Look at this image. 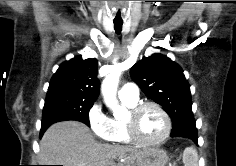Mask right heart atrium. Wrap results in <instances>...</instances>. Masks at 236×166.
<instances>
[{
  "label": "right heart atrium",
  "instance_id": "obj_1",
  "mask_svg": "<svg viewBox=\"0 0 236 166\" xmlns=\"http://www.w3.org/2000/svg\"><path fill=\"white\" fill-rule=\"evenodd\" d=\"M88 124L93 134L102 140L111 138V119L103 110L100 102H95L87 113Z\"/></svg>",
  "mask_w": 236,
  "mask_h": 166
}]
</instances>
